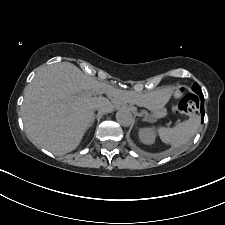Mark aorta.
Listing matches in <instances>:
<instances>
[{
  "label": "aorta",
  "instance_id": "aorta-1",
  "mask_svg": "<svg viewBox=\"0 0 225 225\" xmlns=\"http://www.w3.org/2000/svg\"><path fill=\"white\" fill-rule=\"evenodd\" d=\"M116 120L123 127H130L134 123V119L131 112L126 109H120L116 113Z\"/></svg>",
  "mask_w": 225,
  "mask_h": 225
}]
</instances>
